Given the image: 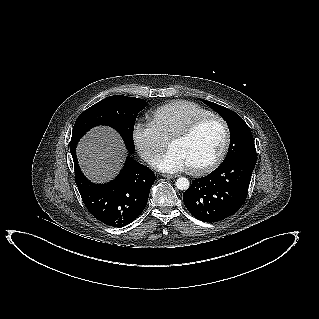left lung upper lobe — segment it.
Returning <instances> with one entry per match:
<instances>
[{
	"mask_svg": "<svg viewBox=\"0 0 319 319\" xmlns=\"http://www.w3.org/2000/svg\"><path fill=\"white\" fill-rule=\"evenodd\" d=\"M201 100L204 104L219 113L228 124L231 140L227 156L222 163L241 157L257 160L253 136L245 121L234 111L226 107L207 100Z\"/></svg>",
	"mask_w": 319,
	"mask_h": 319,
	"instance_id": "1",
	"label": "left lung upper lobe"
}]
</instances>
